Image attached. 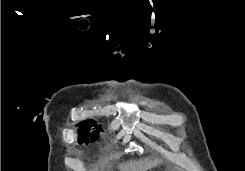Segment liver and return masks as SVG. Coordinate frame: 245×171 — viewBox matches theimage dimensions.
<instances>
[{
    "label": "liver",
    "mask_w": 245,
    "mask_h": 171,
    "mask_svg": "<svg viewBox=\"0 0 245 171\" xmlns=\"http://www.w3.org/2000/svg\"><path fill=\"white\" fill-rule=\"evenodd\" d=\"M162 163L159 159L143 158L140 160H129L118 165L119 171H148Z\"/></svg>",
    "instance_id": "1"
}]
</instances>
